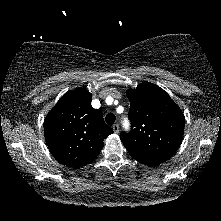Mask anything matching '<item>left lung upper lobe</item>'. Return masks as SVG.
<instances>
[{"label":"left lung upper lobe","instance_id":"left-lung-upper-lobe-1","mask_svg":"<svg viewBox=\"0 0 221 221\" xmlns=\"http://www.w3.org/2000/svg\"><path fill=\"white\" fill-rule=\"evenodd\" d=\"M131 103V131L120 138L130 155L147 166L168 160L183 138L185 117L159 86L144 82L126 92Z\"/></svg>","mask_w":221,"mask_h":221}]
</instances>
